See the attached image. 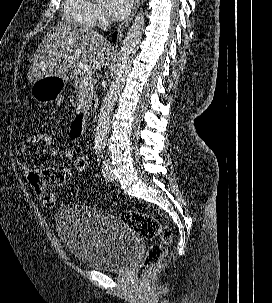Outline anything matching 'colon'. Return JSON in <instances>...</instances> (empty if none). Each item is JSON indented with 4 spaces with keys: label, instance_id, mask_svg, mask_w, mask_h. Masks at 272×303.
Here are the masks:
<instances>
[{
    "label": "colon",
    "instance_id": "5ec220e1",
    "mask_svg": "<svg viewBox=\"0 0 272 303\" xmlns=\"http://www.w3.org/2000/svg\"><path fill=\"white\" fill-rule=\"evenodd\" d=\"M36 135L38 146L47 151L57 148V139L51 132L42 131ZM73 164L78 172L83 173L87 169L86 158L82 155H77L73 160ZM29 179L31 180L32 177H28V180ZM35 192L44 205L48 207L55 205V196L53 193L48 191L42 192L38 190V188ZM120 219L124 224L131 227L141 238L160 239V242L154 243L149 247L138 268V275L145 277L166 256L167 246L172 240V231L170 227L162 224L156 217L133 210L122 211L120 213Z\"/></svg>",
    "mask_w": 272,
    "mask_h": 303
}]
</instances>
